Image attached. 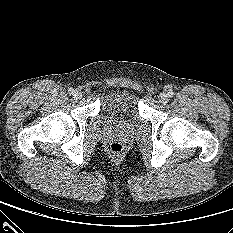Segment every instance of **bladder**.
<instances>
[{"label":"bladder","instance_id":"bladder-1","mask_svg":"<svg viewBox=\"0 0 233 233\" xmlns=\"http://www.w3.org/2000/svg\"><path fill=\"white\" fill-rule=\"evenodd\" d=\"M139 93L125 87L108 89L100 100V116L110 123H133L139 118Z\"/></svg>","mask_w":233,"mask_h":233}]
</instances>
